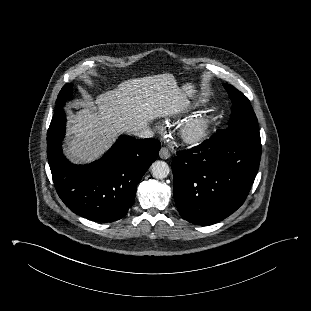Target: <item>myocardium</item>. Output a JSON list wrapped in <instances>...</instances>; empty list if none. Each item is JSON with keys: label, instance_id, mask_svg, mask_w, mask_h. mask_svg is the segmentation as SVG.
Wrapping results in <instances>:
<instances>
[{"label": "myocardium", "instance_id": "obj_1", "mask_svg": "<svg viewBox=\"0 0 311 311\" xmlns=\"http://www.w3.org/2000/svg\"><path fill=\"white\" fill-rule=\"evenodd\" d=\"M210 120L207 115H198L186 121L180 131L182 140L189 145L202 143L209 132Z\"/></svg>", "mask_w": 311, "mask_h": 311}]
</instances>
